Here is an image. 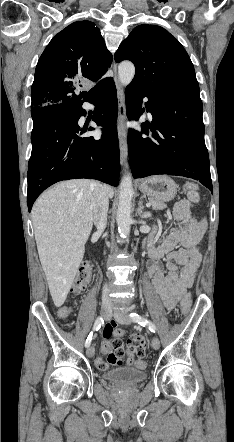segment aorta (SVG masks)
Masks as SVG:
<instances>
[{"label":"aorta","mask_w":234,"mask_h":442,"mask_svg":"<svg viewBox=\"0 0 234 442\" xmlns=\"http://www.w3.org/2000/svg\"><path fill=\"white\" fill-rule=\"evenodd\" d=\"M134 75L135 67L133 63L124 61L119 64L118 76L120 82L124 86H127L131 83ZM132 196V178L128 174L123 177L120 183L119 204L116 215L118 231L123 238H127L130 234Z\"/></svg>","instance_id":"aorta-1"}]
</instances>
